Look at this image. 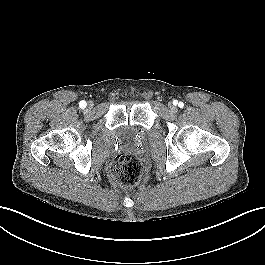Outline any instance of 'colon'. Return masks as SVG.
I'll return each mask as SVG.
<instances>
[{"instance_id":"colon-1","label":"colon","mask_w":265,"mask_h":265,"mask_svg":"<svg viewBox=\"0 0 265 265\" xmlns=\"http://www.w3.org/2000/svg\"><path fill=\"white\" fill-rule=\"evenodd\" d=\"M109 174L117 184L130 187L141 178L142 165L134 153L121 152L110 163Z\"/></svg>"}]
</instances>
